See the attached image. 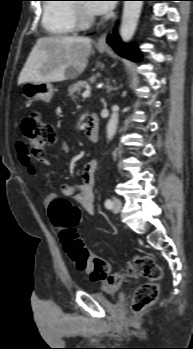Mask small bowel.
Returning <instances> with one entry per match:
<instances>
[{
    "label": "small bowel",
    "instance_id": "small-bowel-1",
    "mask_svg": "<svg viewBox=\"0 0 193 349\" xmlns=\"http://www.w3.org/2000/svg\"><path fill=\"white\" fill-rule=\"evenodd\" d=\"M18 159L21 165L29 172L34 173V167L31 163L30 157L27 155L22 142H18L17 146ZM61 151L64 154L70 152L68 143H61ZM97 170V161L91 160L85 164L82 170L81 178L82 184L79 186L62 185L60 188L62 197H72L80 203L83 210L88 215L94 214V184L95 173ZM59 198L56 194H49L44 199V205L49 207L50 203ZM137 276V272L134 266L128 263L124 269L111 273L109 277L104 280L103 287L107 290L117 289L127 278H134Z\"/></svg>",
    "mask_w": 193,
    "mask_h": 349
}]
</instances>
